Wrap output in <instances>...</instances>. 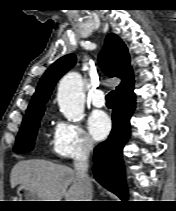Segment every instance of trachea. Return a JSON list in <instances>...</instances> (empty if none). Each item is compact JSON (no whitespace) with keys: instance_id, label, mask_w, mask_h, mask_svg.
<instances>
[{"instance_id":"3493384b","label":"trachea","mask_w":176,"mask_h":211,"mask_svg":"<svg viewBox=\"0 0 176 211\" xmlns=\"http://www.w3.org/2000/svg\"><path fill=\"white\" fill-rule=\"evenodd\" d=\"M106 101L108 103H112L113 102V91L109 92L106 96Z\"/></svg>"}]
</instances>
